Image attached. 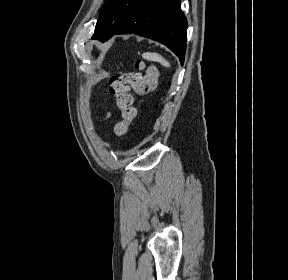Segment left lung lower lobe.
Wrapping results in <instances>:
<instances>
[{"label": "left lung lower lobe", "instance_id": "0a47b994", "mask_svg": "<svg viewBox=\"0 0 288 280\" xmlns=\"http://www.w3.org/2000/svg\"><path fill=\"white\" fill-rule=\"evenodd\" d=\"M187 19L180 0H142L113 35L136 34L166 45L181 65L186 51Z\"/></svg>", "mask_w": 288, "mask_h": 280}]
</instances>
